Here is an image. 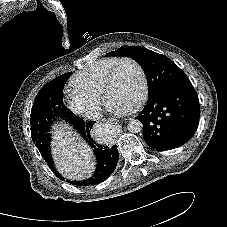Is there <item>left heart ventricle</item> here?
Listing matches in <instances>:
<instances>
[{
    "instance_id": "1",
    "label": "left heart ventricle",
    "mask_w": 227,
    "mask_h": 227,
    "mask_svg": "<svg viewBox=\"0 0 227 227\" xmlns=\"http://www.w3.org/2000/svg\"><path fill=\"white\" fill-rule=\"evenodd\" d=\"M141 89V77L131 63H124L119 68L113 86L108 95V103L132 105Z\"/></svg>"
}]
</instances>
